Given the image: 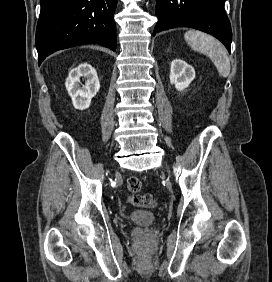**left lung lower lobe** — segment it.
<instances>
[{"instance_id": "1", "label": "left lung lower lobe", "mask_w": 272, "mask_h": 282, "mask_svg": "<svg viewBox=\"0 0 272 282\" xmlns=\"http://www.w3.org/2000/svg\"><path fill=\"white\" fill-rule=\"evenodd\" d=\"M224 3L225 0H157L158 22L153 36L174 27H191L213 35L230 52L232 31Z\"/></svg>"}]
</instances>
